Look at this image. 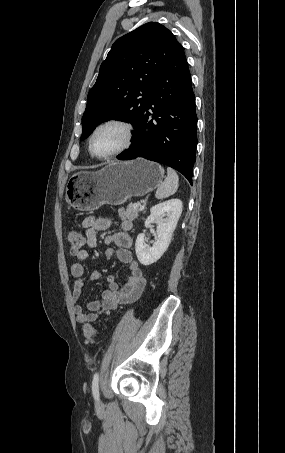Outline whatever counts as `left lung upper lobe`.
<instances>
[{
    "label": "left lung upper lobe",
    "instance_id": "obj_1",
    "mask_svg": "<svg viewBox=\"0 0 285 453\" xmlns=\"http://www.w3.org/2000/svg\"><path fill=\"white\" fill-rule=\"evenodd\" d=\"M179 45L172 32L157 22L146 23L117 39L88 93L81 140L111 119L135 126Z\"/></svg>",
    "mask_w": 285,
    "mask_h": 453
}]
</instances>
